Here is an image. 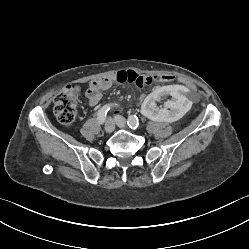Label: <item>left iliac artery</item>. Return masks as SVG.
Returning a JSON list of instances; mask_svg holds the SVG:
<instances>
[{"mask_svg": "<svg viewBox=\"0 0 249 249\" xmlns=\"http://www.w3.org/2000/svg\"><path fill=\"white\" fill-rule=\"evenodd\" d=\"M127 124L131 129H136L139 127V120L138 117L136 115L134 116H129L128 120H127Z\"/></svg>", "mask_w": 249, "mask_h": 249, "instance_id": "obj_1", "label": "left iliac artery"}]
</instances>
